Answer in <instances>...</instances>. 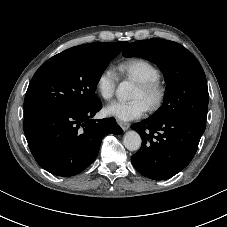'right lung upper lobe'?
I'll return each instance as SVG.
<instances>
[{
  "label": "right lung upper lobe",
  "instance_id": "right-lung-upper-lobe-1",
  "mask_svg": "<svg viewBox=\"0 0 227 227\" xmlns=\"http://www.w3.org/2000/svg\"><path fill=\"white\" fill-rule=\"evenodd\" d=\"M121 43V48L123 49L128 42H120ZM103 42H95V43H89V44H84V45H80V46H76V48L78 49H82V50H97L102 46Z\"/></svg>",
  "mask_w": 227,
  "mask_h": 227
}]
</instances>
